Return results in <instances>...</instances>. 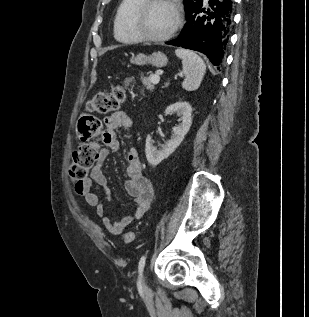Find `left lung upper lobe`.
Wrapping results in <instances>:
<instances>
[{
  "label": "left lung upper lobe",
  "instance_id": "left-lung-upper-lobe-1",
  "mask_svg": "<svg viewBox=\"0 0 309 317\" xmlns=\"http://www.w3.org/2000/svg\"><path fill=\"white\" fill-rule=\"evenodd\" d=\"M203 0H184L185 12L199 5Z\"/></svg>",
  "mask_w": 309,
  "mask_h": 317
}]
</instances>
